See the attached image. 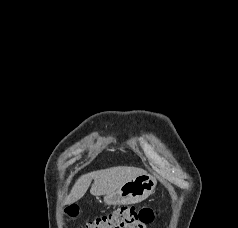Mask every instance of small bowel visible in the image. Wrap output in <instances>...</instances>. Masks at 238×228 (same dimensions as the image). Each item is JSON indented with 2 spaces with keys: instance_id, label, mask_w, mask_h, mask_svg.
<instances>
[{
  "instance_id": "1",
  "label": "small bowel",
  "mask_w": 238,
  "mask_h": 228,
  "mask_svg": "<svg viewBox=\"0 0 238 228\" xmlns=\"http://www.w3.org/2000/svg\"><path fill=\"white\" fill-rule=\"evenodd\" d=\"M136 228H147V226L146 225H138Z\"/></svg>"
}]
</instances>
